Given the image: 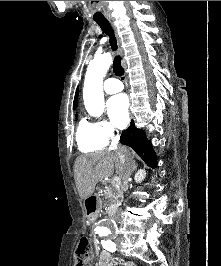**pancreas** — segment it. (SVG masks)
<instances>
[{
	"label": "pancreas",
	"instance_id": "pancreas-1",
	"mask_svg": "<svg viewBox=\"0 0 221 266\" xmlns=\"http://www.w3.org/2000/svg\"><path fill=\"white\" fill-rule=\"evenodd\" d=\"M105 197L109 200L110 210L117 208L120 203L119 198L121 197V192L119 189L111 186L105 191Z\"/></svg>",
	"mask_w": 221,
	"mask_h": 266
}]
</instances>
